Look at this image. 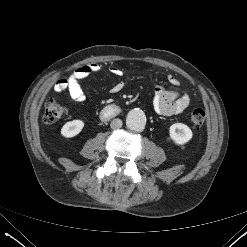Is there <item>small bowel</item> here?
I'll return each mask as SVG.
<instances>
[{
	"label": "small bowel",
	"instance_id": "obj_1",
	"mask_svg": "<svg viewBox=\"0 0 247 247\" xmlns=\"http://www.w3.org/2000/svg\"><path fill=\"white\" fill-rule=\"evenodd\" d=\"M101 70V66L97 63H89L77 68L68 78L59 80L54 92L59 95L67 91L70 98L75 102H83L86 96L81 88L80 82L93 73ZM110 72L120 77L122 70L116 66L109 68ZM168 81L171 85L177 86L178 80L173 75L168 76ZM124 88V82L118 81L115 83L110 91L111 93H118ZM190 104V97L185 93H180L176 90H168L164 86L157 84L153 94L154 110L164 116L178 115L188 108Z\"/></svg>",
	"mask_w": 247,
	"mask_h": 247
}]
</instances>
